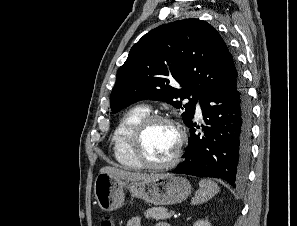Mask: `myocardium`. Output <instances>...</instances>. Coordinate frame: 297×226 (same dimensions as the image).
Listing matches in <instances>:
<instances>
[{
    "label": "myocardium",
    "mask_w": 297,
    "mask_h": 226,
    "mask_svg": "<svg viewBox=\"0 0 297 226\" xmlns=\"http://www.w3.org/2000/svg\"><path fill=\"white\" fill-rule=\"evenodd\" d=\"M156 122H165L172 125L177 134L178 142L176 150L173 156L166 162L154 163L151 162L143 152V138L147 129ZM187 140L186 132L182 125L175 118L164 114H148L142 120H140L134 127L130 138V150L133 157L139 162V164L147 169L163 170L174 167L181 159Z\"/></svg>",
    "instance_id": "f54148a6"
}]
</instances>
